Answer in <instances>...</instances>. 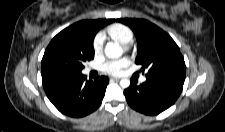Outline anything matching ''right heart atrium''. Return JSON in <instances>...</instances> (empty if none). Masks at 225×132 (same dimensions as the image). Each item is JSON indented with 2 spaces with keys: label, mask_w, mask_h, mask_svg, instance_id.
Here are the masks:
<instances>
[{
  "label": "right heart atrium",
  "mask_w": 225,
  "mask_h": 132,
  "mask_svg": "<svg viewBox=\"0 0 225 132\" xmlns=\"http://www.w3.org/2000/svg\"><path fill=\"white\" fill-rule=\"evenodd\" d=\"M103 46V37L98 34L95 36L94 41H93V51L95 54H99L102 50Z\"/></svg>",
  "instance_id": "right-heart-atrium-1"
}]
</instances>
